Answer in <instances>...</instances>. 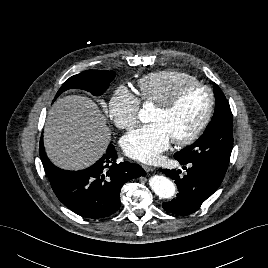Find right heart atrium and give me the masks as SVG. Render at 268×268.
<instances>
[{
    "mask_svg": "<svg viewBox=\"0 0 268 268\" xmlns=\"http://www.w3.org/2000/svg\"><path fill=\"white\" fill-rule=\"evenodd\" d=\"M140 97L125 86L115 89L108 102V116L121 129L129 130L137 125Z\"/></svg>",
    "mask_w": 268,
    "mask_h": 268,
    "instance_id": "right-heart-atrium-1",
    "label": "right heart atrium"
}]
</instances>
